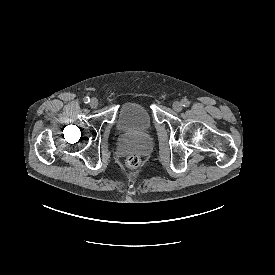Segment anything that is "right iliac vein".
Instances as JSON below:
<instances>
[{
	"mask_svg": "<svg viewBox=\"0 0 275 275\" xmlns=\"http://www.w3.org/2000/svg\"><path fill=\"white\" fill-rule=\"evenodd\" d=\"M98 106V100L96 98H92L90 101V107L96 108Z\"/></svg>",
	"mask_w": 275,
	"mask_h": 275,
	"instance_id": "obj_1",
	"label": "right iliac vein"
}]
</instances>
